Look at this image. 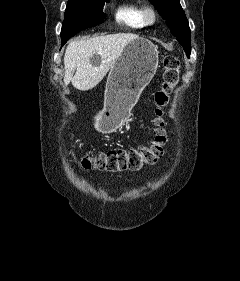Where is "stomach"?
<instances>
[{"mask_svg":"<svg viewBox=\"0 0 240 281\" xmlns=\"http://www.w3.org/2000/svg\"><path fill=\"white\" fill-rule=\"evenodd\" d=\"M158 62L157 48L148 39L138 37L124 47L107 78L104 108L94 117L98 131L110 133L121 125L155 75Z\"/></svg>","mask_w":240,"mask_h":281,"instance_id":"stomach-1","label":"stomach"}]
</instances>
